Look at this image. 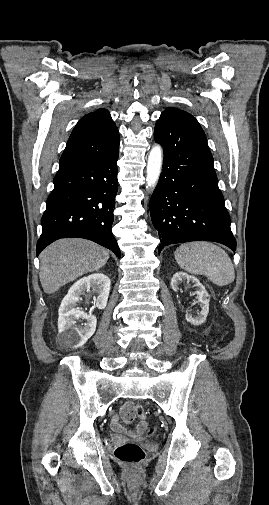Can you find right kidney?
Segmentation results:
<instances>
[{"instance_id": "ca27d5eb", "label": "right kidney", "mask_w": 269, "mask_h": 505, "mask_svg": "<svg viewBox=\"0 0 269 505\" xmlns=\"http://www.w3.org/2000/svg\"><path fill=\"white\" fill-rule=\"evenodd\" d=\"M110 279L103 273H94L83 277L75 282L69 289L67 295L61 302L59 308L58 330L59 339L62 344L78 348L83 346L96 330L97 319L94 315L79 310L77 302L81 295L90 289L98 296L94 298L95 307L104 309L107 305ZM82 319L86 322L82 326H77V320Z\"/></svg>"}]
</instances>
